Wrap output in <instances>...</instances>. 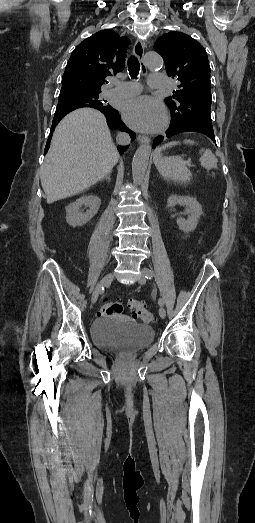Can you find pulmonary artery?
Masks as SVG:
<instances>
[{
  "mask_svg": "<svg viewBox=\"0 0 255 523\" xmlns=\"http://www.w3.org/2000/svg\"><path fill=\"white\" fill-rule=\"evenodd\" d=\"M149 83L156 91L163 92L166 90L169 81L166 75L156 71L149 77ZM112 85L114 87L107 91L108 97L125 98L134 96L141 91V85L137 82H121L114 79Z\"/></svg>",
  "mask_w": 255,
  "mask_h": 523,
  "instance_id": "1",
  "label": "pulmonary artery"
}]
</instances>
